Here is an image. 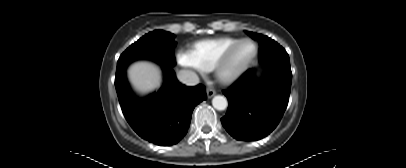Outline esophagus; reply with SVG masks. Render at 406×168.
<instances>
[{"mask_svg":"<svg viewBox=\"0 0 406 168\" xmlns=\"http://www.w3.org/2000/svg\"><path fill=\"white\" fill-rule=\"evenodd\" d=\"M206 93L208 98H212L216 94V91L212 88H207Z\"/></svg>","mask_w":406,"mask_h":168,"instance_id":"1","label":"esophagus"}]
</instances>
